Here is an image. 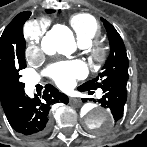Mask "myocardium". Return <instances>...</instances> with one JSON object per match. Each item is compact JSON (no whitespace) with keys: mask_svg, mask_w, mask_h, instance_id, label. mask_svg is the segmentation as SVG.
<instances>
[{"mask_svg":"<svg viewBox=\"0 0 147 147\" xmlns=\"http://www.w3.org/2000/svg\"><path fill=\"white\" fill-rule=\"evenodd\" d=\"M88 48V52L90 57L96 61H102L106 56V48L100 44L98 41H93L86 46Z\"/></svg>","mask_w":147,"mask_h":147,"instance_id":"myocardium-1","label":"myocardium"}]
</instances>
